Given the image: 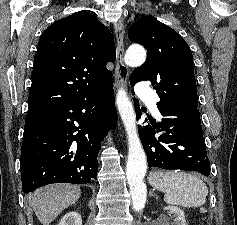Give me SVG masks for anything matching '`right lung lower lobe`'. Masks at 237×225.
<instances>
[{
  "instance_id": "98d812e1",
  "label": "right lung lower lobe",
  "mask_w": 237,
  "mask_h": 225,
  "mask_svg": "<svg viewBox=\"0 0 237 225\" xmlns=\"http://www.w3.org/2000/svg\"><path fill=\"white\" fill-rule=\"evenodd\" d=\"M116 122L112 82L70 101L28 109L20 161L23 191L96 179L101 141Z\"/></svg>"
}]
</instances>
